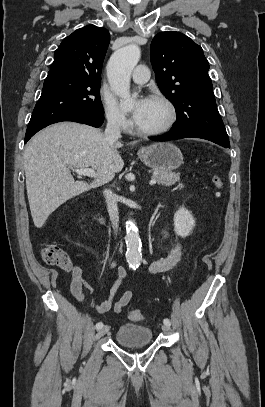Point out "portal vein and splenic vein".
<instances>
[{
  "mask_svg": "<svg viewBox=\"0 0 265 407\" xmlns=\"http://www.w3.org/2000/svg\"><path fill=\"white\" fill-rule=\"evenodd\" d=\"M72 170L74 172H76L79 175H83V176H88V177H95L96 176V172L93 169L90 168H72ZM157 180L156 179H152L150 181V185H154L156 184Z\"/></svg>",
  "mask_w": 265,
  "mask_h": 407,
  "instance_id": "obj_1",
  "label": "portal vein and splenic vein"
}]
</instances>
